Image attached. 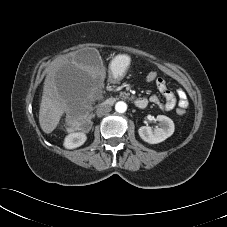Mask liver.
I'll return each instance as SVG.
<instances>
[{"mask_svg":"<svg viewBox=\"0 0 227 227\" xmlns=\"http://www.w3.org/2000/svg\"><path fill=\"white\" fill-rule=\"evenodd\" d=\"M75 57V53L59 57L48 68L39 110V124L47 134L57 127L61 116L70 110L81 93L83 83L96 77L89 67L78 64Z\"/></svg>","mask_w":227,"mask_h":227,"instance_id":"1","label":"liver"}]
</instances>
